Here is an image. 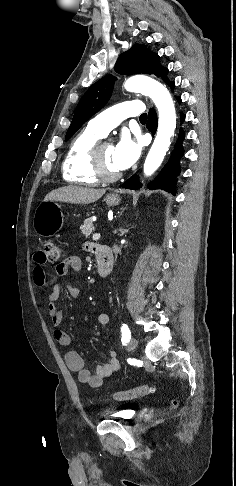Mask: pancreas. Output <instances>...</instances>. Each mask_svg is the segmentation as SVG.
<instances>
[{
    "instance_id": "cf45deb5",
    "label": "pancreas",
    "mask_w": 236,
    "mask_h": 486,
    "mask_svg": "<svg viewBox=\"0 0 236 486\" xmlns=\"http://www.w3.org/2000/svg\"><path fill=\"white\" fill-rule=\"evenodd\" d=\"M93 231L92 220L90 218L84 221V225L81 227L82 234L87 238Z\"/></svg>"
}]
</instances>
